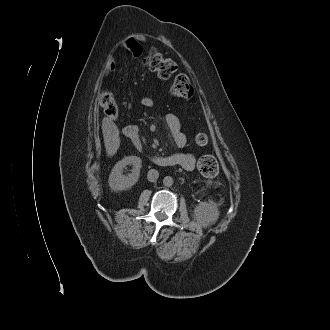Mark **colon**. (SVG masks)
Masks as SVG:
<instances>
[{"mask_svg": "<svg viewBox=\"0 0 330 330\" xmlns=\"http://www.w3.org/2000/svg\"><path fill=\"white\" fill-rule=\"evenodd\" d=\"M144 66L150 71L155 72L160 78L168 79L177 70V65L163 55L155 48L150 49L143 59ZM193 87L186 75H178L171 86V94L174 97L189 99L193 96ZM100 104L104 113L109 118L118 116V106L113 94L109 91H103L99 97ZM195 142L204 146L208 143V136L205 133H198L195 136ZM199 171L206 177H213L218 173L219 166L217 160L212 156H203L198 161Z\"/></svg>", "mask_w": 330, "mask_h": 330, "instance_id": "1", "label": "colon"}]
</instances>
